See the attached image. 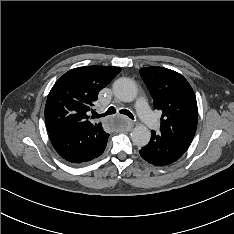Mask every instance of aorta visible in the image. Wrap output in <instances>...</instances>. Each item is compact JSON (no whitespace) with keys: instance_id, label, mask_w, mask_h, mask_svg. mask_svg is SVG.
Returning a JSON list of instances; mask_svg holds the SVG:
<instances>
[{"instance_id":"762f6f07","label":"aorta","mask_w":234,"mask_h":234,"mask_svg":"<svg viewBox=\"0 0 234 234\" xmlns=\"http://www.w3.org/2000/svg\"><path fill=\"white\" fill-rule=\"evenodd\" d=\"M114 95L123 102H132L137 96V88L135 83L129 78H119L113 84ZM151 133L149 129L139 124L135 126L131 132L132 142L138 146L143 147L150 141Z\"/></svg>"}]
</instances>
